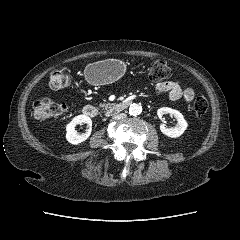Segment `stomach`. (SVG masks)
<instances>
[{"label":"stomach","instance_id":"obj_1","mask_svg":"<svg viewBox=\"0 0 240 240\" xmlns=\"http://www.w3.org/2000/svg\"><path fill=\"white\" fill-rule=\"evenodd\" d=\"M125 72V66L118 60L106 59L86 66L84 74L93 85L110 84L117 81Z\"/></svg>","mask_w":240,"mask_h":240}]
</instances>
